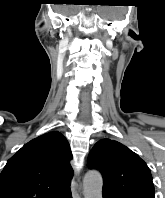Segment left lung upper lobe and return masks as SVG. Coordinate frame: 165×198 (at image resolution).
I'll return each mask as SVG.
<instances>
[{"instance_id":"5c2ea615","label":"left lung upper lobe","mask_w":165,"mask_h":198,"mask_svg":"<svg viewBox=\"0 0 165 198\" xmlns=\"http://www.w3.org/2000/svg\"><path fill=\"white\" fill-rule=\"evenodd\" d=\"M88 166L103 176V188L122 198H155L152 176L146 163L123 144L102 139L88 157Z\"/></svg>"}]
</instances>
